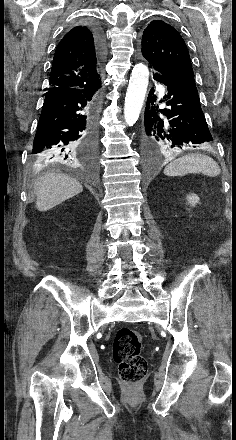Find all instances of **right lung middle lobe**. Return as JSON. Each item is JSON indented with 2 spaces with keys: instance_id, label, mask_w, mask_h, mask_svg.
Listing matches in <instances>:
<instances>
[{
  "instance_id": "right-lung-middle-lobe-1",
  "label": "right lung middle lobe",
  "mask_w": 236,
  "mask_h": 440,
  "mask_svg": "<svg viewBox=\"0 0 236 440\" xmlns=\"http://www.w3.org/2000/svg\"><path fill=\"white\" fill-rule=\"evenodd\" d=\"M32 161L36 164L42 163V159L38 156H33Z\"/></svg>"
}]
</instances>
